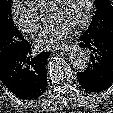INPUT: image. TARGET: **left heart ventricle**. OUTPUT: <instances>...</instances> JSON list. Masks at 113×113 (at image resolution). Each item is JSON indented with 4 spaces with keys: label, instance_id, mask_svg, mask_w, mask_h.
<instances>
[{
    "label": "left heart ventricle",
    "instance_id": "left-heart-ventricle-1",
    "mask_svg": "<svg viewBox=\"0 0 113 113\" xmlns=\"http://www.w3.org/2000/svg\"><path fill=\"white\" fill-rule=\"evenodd\" d=\"M86 11L87 0H61L55 8L47 10L46 20L50 23L62 21L75 28Z\"/></svg>",
    "mask_w": 113,
    "mask_h": 113
}]
</instances>
